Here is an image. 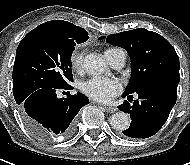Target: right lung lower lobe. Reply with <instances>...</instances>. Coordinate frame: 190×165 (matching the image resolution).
Here are the masks:
<instances>
[{"mask_svg": "<svg viewBox=\"0 0 190 165\" xmlns=\"http://www.w3.org/2000/svg\"><path fill=\"white\" fill-rule=\"evenodd\" d=\"M57 89H72V86L38 89L19 104L25 125L41 141L51 142L60 136L69 137L75 126L76 115L89 103L88 98L79 92L66 98H57Z\"/></svg>", "mask_w": 190, "mask_h": 165, "instance_id": "obj_1", "label": "right lung lower lobe"}]
</instances>
